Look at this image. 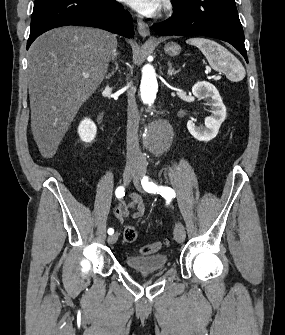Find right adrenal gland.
I'll use <instances>...</instances> for the list:
<instances>
[{"instance_id": "right-adrenal-gland-1", "label": "right adrenal gland", "mask_w": 285, "mask_h": 335, "mask_svg": "<svg viewBox=\"0 0 285 335\" xmlns=\"http://www.w3.org/2000/svg\"><path fill=\"white\" fill-rule=\"evenodd\" d=\"M116 70H118V64H117V62H115V70H114V72H116ZM114 72H111V74H107V76H105V78H107V80H109V78H111V76H113Z\"/></svg>"}]
</instances>
